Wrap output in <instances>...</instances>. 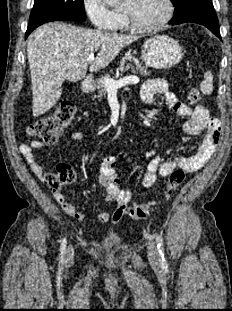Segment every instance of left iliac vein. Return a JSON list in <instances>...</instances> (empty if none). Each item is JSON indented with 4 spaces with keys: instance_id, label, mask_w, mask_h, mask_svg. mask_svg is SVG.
Listing matches in <instances>:
<instances>
[{
    "instance_id": "obj_1",
    "label": "left iliac vein",
    "mask_w": 232,
    "mask_h": 311,
    "mask_svg": "<svg viewBox=\"0 0 232 311\" xmlns=\"http://www.w3.org/2000/svg\"><path fill=\"white\" fill-rule=\"evenodd\" d=\"M148 258L151 263L159 262L158 248L155 242H150L148 245Z\"/></svg>"
}]
</instances>
